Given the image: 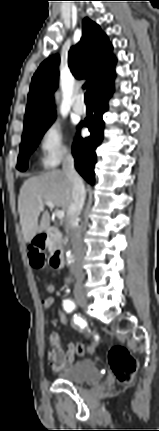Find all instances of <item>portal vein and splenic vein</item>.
Wrapping results in <instances>:
<instances>
[{"label":"portal vein and splenic vein","instance_id":"portal-vein-and-splenic-vein-1","mask_svg":"<svg viewBox=\"0 0 159 431\" xmlns=\"http://www.w3.org/2000/svg\"><path fill=\"white\" fill-rule=\"evenodd\" d=\"M44 204L46 205V206H48L50 209H53L54 208V203L53 202H51V201H45L44 203H42V204H40V206H39V210H43L44 209ZM55 214H56V217L58 218V219H63L64 218V216H65V213H64V211L63 210H57L56 212H55Z\"/></svg>","mask_w":159,"mask_h":431}]
</instances>
